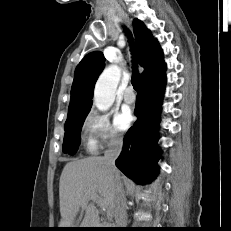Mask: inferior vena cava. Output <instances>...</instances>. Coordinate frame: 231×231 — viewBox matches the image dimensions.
<instances>
[{
    "instance_id": "1",
    "label": "inferior vena cava",
    "mask_w": 231,
    "mask_h": 231,
    "mask_svg": "<svg viewBox=\"0 0 231 231\" xmlns=\"http://www.w3.org/2000/svg\"><path fill=\"white\" fill-rule=\"evenodd\" d=\"M122 145L123 137L117 133L113 134L108 143V149L103 156L109 174L114 177V218L117 228H125L127 225L126 197L123 186L116 175L117 169L115 166V160L121 153Z\"/></svg>"
}]
</instances>
